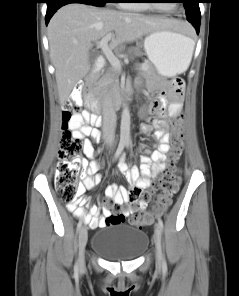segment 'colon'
I'll return each mask as SVG.
<instances>
[{"label":"colon","mask_w":239,"mask_h":296,"mask_svg":"<svg viewBox=\"0 0 239 296\" xmlns=\"http://www.w3.org/2000/svg\"><path fill=\"white\" fill-rule=\"evenodd\" d=\"M82 114L81 108L72 100L64 103L62 111L63 134L60 141L59 162L56 167L55 185L61 200L71 209H76V202L79 192V173H80V153L84 148V141L81 137L74 134L72 122ZM79 125L84 122L79 120ZM185 137L182 128V121L175 119L170 136L172 150L169 156L170 168L162 175L159 182L153 186V189H159L160 193L156 196V209L163 211L167 209L179 190L180 178L179 168L176 166L179 156L184 147ZM151 193L143 195L144 200H148ZM107 208L110 215L106 218V225L119 224L125 220L122 213L119 212V205L109 203ZM135 207V206H134ZM151 212H141L130 218L132 224L138 226L148 225L152 222Z\"/></svg>","instance_id":"obj_1"}]
</instances>
